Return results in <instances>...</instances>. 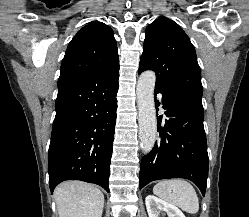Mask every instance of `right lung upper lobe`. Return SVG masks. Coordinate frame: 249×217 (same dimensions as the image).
Returning a JSON list of instances; mask_svg holds the SVG:
<instances>
[{"mask_svg":"<svg viewBox=\"0 0 249 217\" xmlns=\"http://www.w3.org/2000/svg\"><path fill=\"white\" fill-rule=\"evenodd\" d=\"M119 64L112 29L99 21H91L69 43L61 64L60 77L95 75Z\"/></svg>","mask_w":249,"mask_h":217,"instance_id":"right-lung-upper-lobe-1","label":"right lung upper lobe"}]
</instances>
